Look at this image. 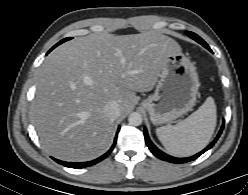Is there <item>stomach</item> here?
Listing matches in <instances>:
<instances>
[{"instance_id": "obj_1", "label": "stomach", "mask_w": 248, "mask_h": 195, "mask_svg": "<svg viewBox=\"0 0 248 195\" xmlns=\"http://www.w3.org/2000/svg\"><path fill=\"white\" fill-rule=\"evenodd\" d=\"M159 77L155 92L142 102L154 125L172 122L192 110L200 85L195 66L181 51L168 55Z\"/></svg>"}]
</instances>
